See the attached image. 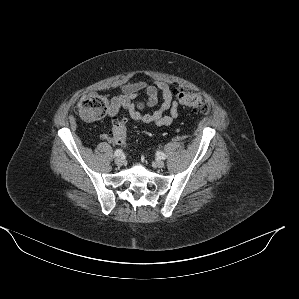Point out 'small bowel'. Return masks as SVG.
Returning a JSON list of instances; mask_svg holds the SVG:
<instances>
[{"instance_id":"obj_1","label":"small bowel","mask_w":299,"mask_h":299,"mask_svg":"<svg viewBox=\"0 0 299 299\" xmlns=\"http://www.w3.org/2000/svg\"><path fill=\"white\" fill-rule=\"evenodd\" d=\"M142 93L147 96L144 101L138 100L139 95ZM159 95L162 97L159 108L150 114H144L142 112L144 109L154 107L159 103ZM176 95L177 91L164 81H155L153 83L142 80L128 82L121 87V94L111 98L107 115L115 117L120 109H124L136 124L167 127L180 116ZM101 137L105 141L122 144L110 133H103Z\"/></svg>"}]
</instances>
